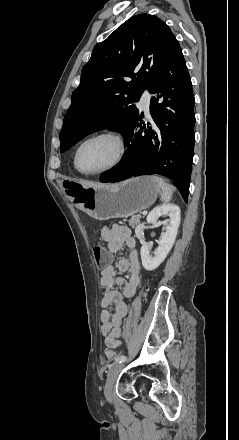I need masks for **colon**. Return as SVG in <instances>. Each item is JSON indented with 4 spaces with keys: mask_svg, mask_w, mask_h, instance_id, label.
I'll return each mask as SVG.
<instances>
[{
    "mask_svg": "<svg viewBox=\"0 0 239 440\" xmlns=\"http://www.w3.org/2000/svg\"><path fill=\"white\" fill-rule=\"evenodd\" d=\"M94 257L96 260V263L98 266L100 267H106L110 261H111V257L109 255V253L101 246H96L94 247ZM105 355L107 357V359L111 360L114 358L115 356V351L113 349H107L105 352Z\"/></svg>",
    "mask_w": 239,
    "mask_h": 440,
    "instance_id": "obj_1",
    "label": "colon"
}]
</instances>
